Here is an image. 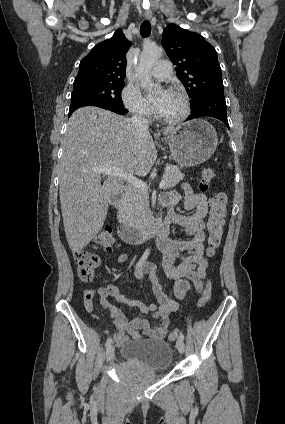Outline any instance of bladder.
<instances>
[{"label": "bladder", "instance_id": "31cf9c89", "mask_svg": "<svg viewBox=\"0 0 285 424\" xmlns=\"http://www.w3.org/2000/svg\"><path fill=\"white\" fill-rule=\"evenodd\" d=\"M121 356L125 363L135 364L144 371L158 376L171 366L173 349L163 340L138 339L124 343L121 347Z\"/></svg>", "mask_w": 285, "mask_h": 424}]
</instances>
